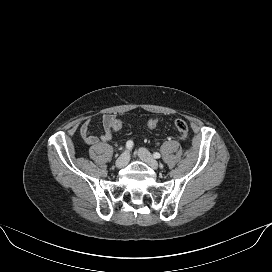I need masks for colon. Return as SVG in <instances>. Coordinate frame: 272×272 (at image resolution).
Returning <instances> with one entry per match:
<instances>
[{
	"instance_id": "colon-1",
	"label": "colon",
	"mask_w": 272,
	"mask_h": 272,
	"mask_svg": "<svg viewBox=\"0 0 272 272\" xmlns=\"http://www.w3.org/2000/svg\"><path fill=\"white\" fill-rule=\"evenodd\" d=\"M159 124V119L157 117H152L148 120V127L150 129H155ZM174 128L177 130L181 139H186L189 134L188 124L180 118H177L173 122ZM122 127V121L116 118L112 124L113 131H117Z\"/></svg>"
}]
</instances>
